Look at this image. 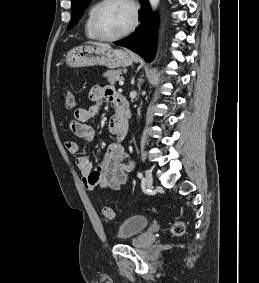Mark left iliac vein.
Returning <instances> with one entry per match:
<instances>
[{"mask_svg": "<svg viewBox=\"0 0 259 283\" xmlns=\"http://www.w3.org/2000/svg\"><path fill=\"white\" fill-rule=\"evenodd\" d=\"M145 182L148 188H152L153 185V176L150 170L145 171Z\"/></svg>", "mask_w": 259, "mask_h": 283, "instance_id": "obj_1", "label": "left iliac vein"}]
</instances>
